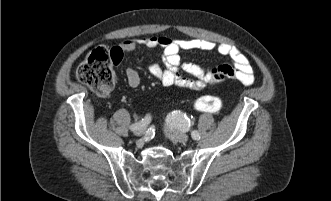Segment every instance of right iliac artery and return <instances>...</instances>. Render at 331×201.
<instances>
[{
  "instance_id": "1",
  "label": "right iliac artery",
  "mask_w": 331,
  "mask_h": 201,
  "mask_svg": "<svg viewBox=\"0 0 331 201\" xmlns=\"http://www.w3.org/2000/svg\"><path fill=\"white\" fill-rule=\"evenodd\" d=\"M150 121H151V117H150V115H147V116H145L141 121L132 124V125L129 127V129L132 130V131H134V130H136L138 127H144V126L148 125V124L150 123Z\"/></svg>"
}]
</instances>
